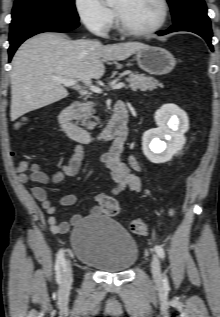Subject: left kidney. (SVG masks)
<instances>
[{"instance_id":"obj_1","label":"left kidney","mask_w":220,"mask_h":317,"mask_svg":"<svg viewBox=\"0 0 220 317\" xmlns=\"http://www.w3.org/2000/svg\"><path fill=\"white\" fill-rule=\"evenodd\" d=\"M154 119L158 128L143 134L142 148L151 162L165 163L185 144L184 133L188 130V118L178 106L166 104L155 112Z\"/></svg>"}]
</instances>
